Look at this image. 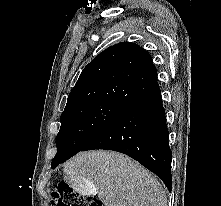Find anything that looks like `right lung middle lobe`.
Here are the masks:
<instances>
[{"mask_svg":"<svg viewBox=\"0 0 221 206\" xmlns=\"http://www.w3.org/2000/svg\"><path fill=\"white\" fill-rule=\"evenodd\" d=\"M125 107L96 103L64 111L56 138L57 154L51 167L68 160L81 151L97 134L116 119Z\"/></svg>","mask_w":221,"mask_h":206,"instance_id":"1","label":"right lung middle lobe"}]
</instances>
